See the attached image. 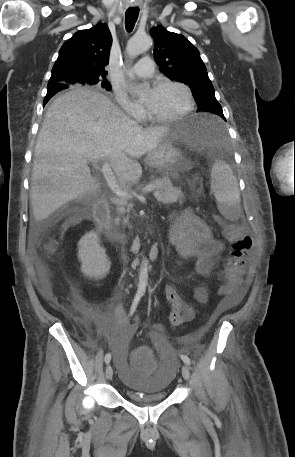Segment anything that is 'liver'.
I'll use <instances>...</instances> for the list:
<instances>
[{
	"label": "liver",
	"instance_id": "6515ba94",
	"mask_svg": "<svg viewBox=\"0 0 295 457\" xmlns=\"http://www.w3.org/2000/svg\"><path fill=\"white\" fill-rule=\"evenodd\" d=\"M169 130L143 128L106 95L91 89L57 97L47 110L34 151L30 202L35 220L46 219L100 187L88 162L108 160L123 185L137 183L142 167L136 158L155 149Z\"/></svg>",
	"mask_w": 295,
	"mask_h": 457
}]
</instances>
